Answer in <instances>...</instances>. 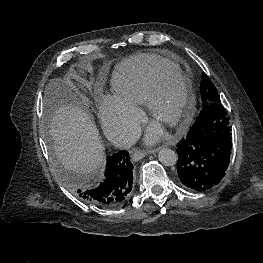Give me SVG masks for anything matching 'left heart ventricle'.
I'll use <instances>...</instances> for the list:
<instances>
[{"mask_svg":"<svg viewBox=\"0 0 263 263\" xmlns=\"http://www.w3.org/2000/svg\"><path fill=\"white\" fill-rule=\"evenodd\" d=\"M183 95L182 88L175 79H168L160 87L156 101V117L153 118L158 124L166 127L178 113Z\"/></svg>","mask_w":263,"mask_h":263,"instance_id":"obj_1","label":"left heart ventricle"}]
</instances>
